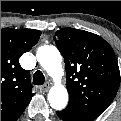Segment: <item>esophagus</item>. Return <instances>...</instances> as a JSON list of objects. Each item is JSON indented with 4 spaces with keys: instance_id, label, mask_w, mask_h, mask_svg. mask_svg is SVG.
<instances>
[{
    "instance_id": "34e87169",
    "label": "esophagus",
    "mask_w": 121,
    "mask_h": 121,
    "mask_svg": "<svg viewBox=\"0 0 121 121\" xmlns=\"http://www.w3.org/2000/svg\"><path fill=\"white\" fill-rule=\"evenodd\" d=\"M49 87H50L49 83H46V84H44V85L41 87V90H42L43 92H47L48 89H49Z\"/></svg>"
}]
</instances>
